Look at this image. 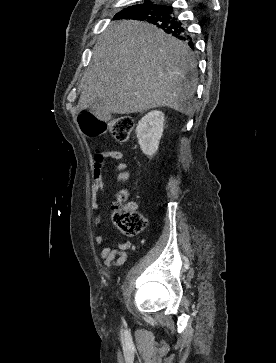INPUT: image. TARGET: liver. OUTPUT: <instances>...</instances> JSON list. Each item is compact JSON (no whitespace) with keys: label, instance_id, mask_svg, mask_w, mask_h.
<instances>
[{"label":"liver","instance_id":"1","mask_svg":"<svg viewBox=\"0 0 276 363\" xmlns=\"http://www.w3.org/2000/svg\"><path fill=\"white\" fill-rule=\"evenodd\" d=\"M196 68L194 53L184 42L145 22L119 21L93 48L77 110L99 100L113 114L169 107L191 115Z\"/></svg>","mask_w":276,"mask_h":363}]
</instances>
